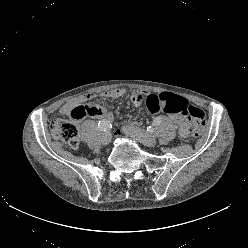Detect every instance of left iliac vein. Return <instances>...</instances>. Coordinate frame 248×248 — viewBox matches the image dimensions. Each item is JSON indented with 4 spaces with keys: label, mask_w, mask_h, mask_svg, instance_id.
Here are the masks:
<instances>
[{
    "label": "left iliac vein",
    "mask_w": 248,
    "mask_h": 248,
    "mask_svg": "<svg viewBox=\"0 0 248 248\" xmlns=\"http://www.w3.org/2000/svg\"><path fill=\"white\" fill-rule=\"evenodd\" d=\"M123 130L127 135L136 140H139L141 143L148 147H153L157 144L156 138L143 129H140L133 125H127L123 128Z\"/></svg>",
    "instance_id": "4c4485c4"
}]
</instances>
